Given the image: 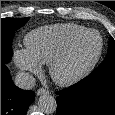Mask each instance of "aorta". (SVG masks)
Here are the masks:
<instances>
[{
    "label": "aorta",
    "instance_id": "aorta-1",
    "mask_svg": "<svg viewBox=\"0 0 115 115\" xmlns=\"http://www.w3.org/2000/svg\"><path fill=\"white\" fill-rule=\"evenodd\" d=\"M38 107L43 113L52 114L57 108L56 99L49 94H44L38 99Z\"/></svg>",
    "mask_w": 115,
    "mask_h": 115
}]
</instances>
